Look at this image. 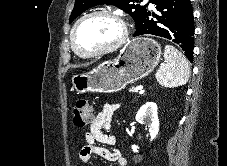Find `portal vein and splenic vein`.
I'll list each match as a JSON object with an SVG mask.
<instances>
[{"label": "portal vein and splenic vein", "instance_id": "portal-vein-and-splenic-vein-1", "mask_svg": "<svg viewBox=\"0 0 227 166\" xmlns=\"http://www.w3.org/2000/svg\"><path fill=\"white\" fill-rule=\"evenodd\" d=\"M142 89H143V86L140 85L135 88V91L138 92V91H141Z\"/></svg>", "mask_w": 227, "mask_h": 166}]
</instances>
